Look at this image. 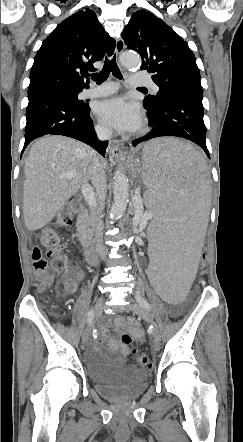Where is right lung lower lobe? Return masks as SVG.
I'll return each mask as SVG.
<instances>
[{
	"mask_svg": "<svg viewBox=\"0 0 243 442\" xmlns=\"http://www.w3.org/2000/svg\"><path fill=\"white\" fill-rule=\"evenodd\" d=\"M25 143L46 134H60L89 144L102 156L108 142L98 141L89 116L90 108L69 90L57 86H44L28 90Z\"/></svg>",
	"mask_w": 243,
	"mask_h": 442,
	"instance_id": "98d812e1",
	"label": "right lung lower lobe"
}]
</instances>
